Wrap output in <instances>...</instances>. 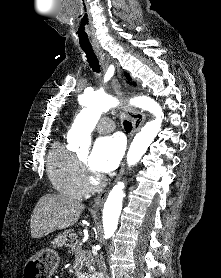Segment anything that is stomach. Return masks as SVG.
<instances>
[{"mask_svg": "<svg viewBox=\"0 0 221 278\" xmlns=\"http://www.w3.org/2000/svg\"><path fill=\"white\" fill-rule=\"evenodd\" d=\"M60 257L51 249H42L39 254H32L25 265V278H50L58 269Z\"/></svg>", "mask_w": 221, "mask_h": 278, "instance_id": "obj_1", "label": "stomach"}]
</instances>
